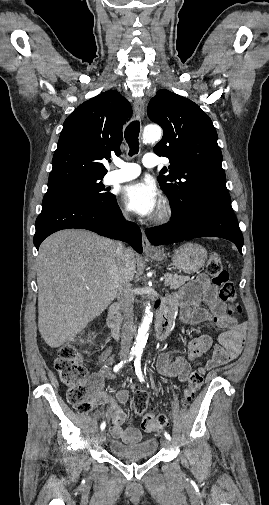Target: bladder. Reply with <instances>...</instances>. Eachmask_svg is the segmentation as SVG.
<instances>
[{
  "mask_svg": "<svg viewBox=\"0 0 269 505\" xmlns=\"http://www.w3.org/2000/svg\"><path fill=\"white\" fill-rule=\"evenodd\" d=\"M158 448L155 438H147L136 443H125L119 440L109 442V450L116 457L122 459H138L153 456Z\"/></svg>",
  "mask_w": 269,
  "mask_h": 505,
  "instance_id": "31cf9c89",
  "label": "bladder"
}]
</instances>
